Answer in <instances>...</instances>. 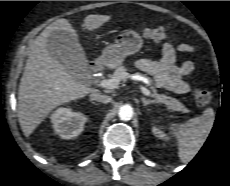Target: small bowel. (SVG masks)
Segmentation results:
<instances>
[{
	"label": "small bowel",
	"instance_id": "c3829d8e",
	"mask_svg": "<svg viewBox=\"0 0 230 186\" xmlns=\"http://www.w3.org/2000/svg\"><path fill=\"white\" fill-rule=\"evenodd\" d=\"M177 51L190 53L193 51V47L187 43H181L177 46L165 43L162 46L160 61L141 59L137 61L136 66L142 72L152 75L153 83L156 86L167 88L178 94L187 93L191 86L184 77L194 71L195 65L188 60L177 66L175 63Z\"/></svg>",
	"mask_w": 230,
	"mask_h": 186
}]
</instances>
